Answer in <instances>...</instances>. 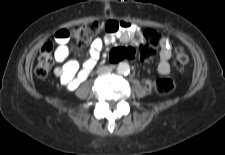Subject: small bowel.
I'll return each mask as SVG.
<instances>
[{
	"mask_svg": "<svg viewBox=\"0 0 225 155\" xmlns=\"http://www.w3.org/2000/svg\"><path fill=\"white\" fill-rule=\"evenodd\" d=\"M106 35L104 38H95L90 46L89 58L80 68L76 60L69 59L68 44L72 41V32L68 28H58L54 32V42L58 45L55 58L61 64L55 70L56 77L70 90L76 89L90 75L93 67L99 59L104 44L111 43L120 36L123 41H130L139 31L138 27L127 21L109 20L104 23ZM159 63L157 71L160 75H168L171 71L170 58L172 56V44L168 38L160 40Z\"/></svg>",
	"mask_w": 225,
	"mask_h": 155,
	"instance_id": "obj_1",
	"label": "small bowel"
}]
</instances>
